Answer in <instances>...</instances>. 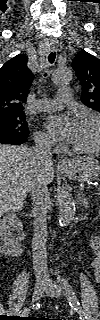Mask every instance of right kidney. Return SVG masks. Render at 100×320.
<instances>
[{"label": "right kidney", "instance_id": "ca27d5eb", "mask_svg": "<svg viewBox=\"0 0 100 320\" xmlns=\"http://www.w3.org/2000/svg\"><path fill=\"white\" fill-rule=\"evenodd\" d=\"M22 223L14 213H8L0 221V238L2 249L6 254H13L19 250L20 242L24 234ZM18 230V235H13V231Z\"/></svg>", "mask_w": 100, "mask_h": 320}]
</instances>
